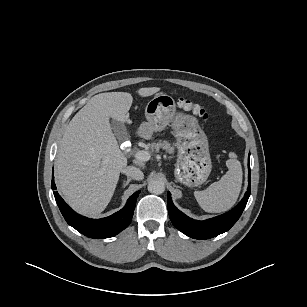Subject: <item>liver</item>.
<instances>
[{"label":"liver","mask_w":307,"mask_h":307,"mask_svg":"<svg viewBox=\"0 0 307 307\" xmlns=\"http://www.w3.org/2000/svg\"><path fill=\"white\" fill-rule=\"evenodd\" d=\"M158 91L160 88L150 87L137 93L148 97ZM132 102L127 92L97 94L76 113L63 134L55 179L67 203L83 215L96 216L107 207L120 172L127 166L109 120L129 123Z\"/></svg>","instance_id":"liver-1"}]
</instances>
